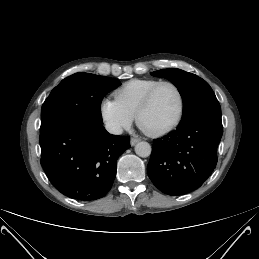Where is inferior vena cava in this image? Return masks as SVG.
<instances>
[{"label": "inferior vena cava", "instance_id": "1", "mask_svg": "<svg viewBox=\"0 0 259 259\" xmlns=\"http://www.w3.org/2000/svg\"><path fill=\"white\" fill-rule=\"evenodd\" d=\"M105 128L111 134L120 135L123 133L122 127L117 123L108 122L106 123Z\"/></svg>", "mask_w": 259, "mask_h": 259}]
</instances>
